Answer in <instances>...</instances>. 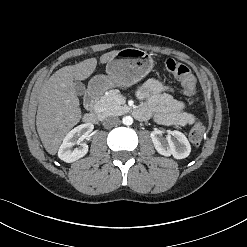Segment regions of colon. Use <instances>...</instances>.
Returning a JSON list of instances; mask_svg holds the SVG:
<instances>
[{"instance_id": "5ec220e1", "label": "colon", "mask_w": 247, "mask_h": 247, "mask_svg": "<svg viewBox=\"0 0 247 247\" xmlns=\"http://www.w3.org/2000/svg\"><path fill=\"white\" fill-rule=\"evenodd\" d=\"M167 70L172 73L182 84L185 95L191 104L195 103L197 95L196 79L188 66L174 59L166 62ZM205 133V126L202 122H196L189 134L192 143L198 144L202 141Z\"/></svg>"}]
</instances>
